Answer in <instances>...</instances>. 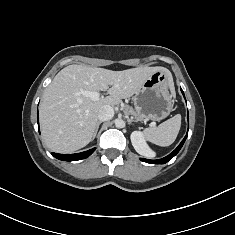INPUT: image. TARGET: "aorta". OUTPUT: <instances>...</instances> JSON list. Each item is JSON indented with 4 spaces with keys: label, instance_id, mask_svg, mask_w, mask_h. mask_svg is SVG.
Wrapping results in <instances>:
<instances>
[{
    "label": "aorta",
    "instance_id": "762f6f07",
    "mask_svg": "<svg viewBox=\"0 0 235 235\" xmlns=\"http://www.w3.org/2000/svg\"><path fill=\"white\" fill-rule=\"evenodd\" d=\"M115 126L117 128H123L124 127V121L122 119H116L115 120Z\"/></svg>",
    "mask_w": 235,
    "mask_h": 235
}]
</instances>
